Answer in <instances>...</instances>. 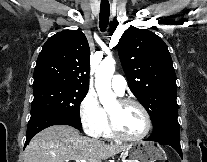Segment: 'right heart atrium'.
<instances>
[{
  "label": "right heart atrium",
  "mask_w": 207,
  "mask_h": 162,
  "mask_svg": "<svg viewBox=\"0 0 207 162\" xmlns=\"http://www.w3.org/2000/svg\"><path fill=\"white\" fill-rule=\"evenodd\" d=\"M79 118L87 134L94 137L102 134L107 124V116L93 91H88L83 97L79 107Z\"/></svg>",
  "instance_id": "1"
}]
</instances>
